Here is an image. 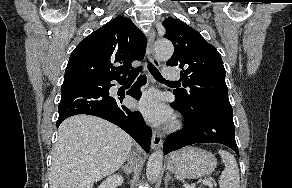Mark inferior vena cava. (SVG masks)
Wrapping results in <instances>:
<instances>
[{"instance_id":"602c4592","label":"inferior vena cava","mask_w":292,"mask_h":188,"mask_svg":"<svg viewBox=\"0 0 292 188\" xmlns=\"http://www.w3.org/2000/svg\"><path fill=\"white\" fill-rule=\"evenodd\" d=\"M128 161V168H130L132 170L133 165H134V155L130 154L129 157L127 158Z\"/></svg>"}]
</instances>
